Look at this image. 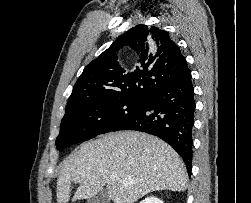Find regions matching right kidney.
I'll list each match as a JSON object with an SVG mask.
<instances>
[{"instance_id":"obj_1","label":"right kidney","mask_w":251,"mask_h":203,"mask_svg":"<svg viewBox=\"0 0 251 203\" xmlns=\"http://www.w3.org/2000/svg\"><path fill=\"white\" fill-rule=\"evenodd\" d=\"M140 203H163V201L155 196H150L142 200Z\"/></svg>"}]
</instances>
